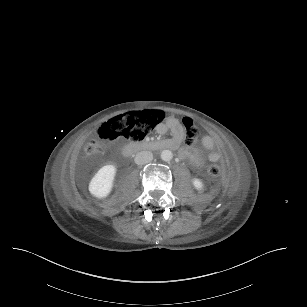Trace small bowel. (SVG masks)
<instances>
[{
    "instance_id": "small-bowel-1",
    "label": "small bowel",
    "mask_w": 307,
    "mask_h": 307,
    "mask_svg": "<svg viewBox=\"0 0 307 307\" xmlns=\"http://www.w3.org/2000/svg\"><path fill=\"white\" fill-rule=\"evenodd\" d=\"M168 129L172 133L170 141L173 143V148H178L184 139L183 127L177 121H170L168 124L160 127V131L162 132H165ZM201 144L203 148L209 152V161L218 162L220 160V153L215 149V140L211 136L205 135L201 140ZM179 156L182 159L188 160L196 167H200L204 163L201 152L197 147H181L179 149Z\"/></svg>"
}]
</instances>
